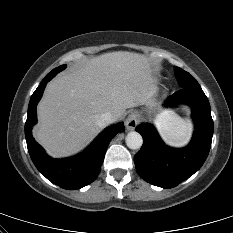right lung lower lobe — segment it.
Listing matches in <instances>:
<instances>
[{
    "label": "right lung lower lobe",
    "instance_id": "right-lung-lower-lobe-1",
    "mask_svg": "<svg viewBox=\"0 0 233 233\" xmlns=\"http://www.w3.org/2000/svg\"><path fill=\"white\" fill-rule=\"evenodd\" d=\"M52 78L51 76L45 77L31 96L25 123L27 148L34 165L48 180L61 188L75 190L92 183L97 178L109 142L117 133L125 129L122 123L107 128L86 151L77 156L59 160L50 158L35 142L31 130L37 119V103L46 83Z\"/></svg>",
    "mask_w": 233,
    "mask_h": 233
}]
</instances>
